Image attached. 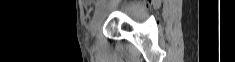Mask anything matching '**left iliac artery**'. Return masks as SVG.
Listing matches in <instances>:
<instances>
[{
  "instance_id": "1",
  "label": "left iliac artery",
  "mask_w": 235,
  "mask_h": 62,
  "mask_svg": "<svg viewBox=\"0 0 235 62\" xmlns=\"http://www.w3.org/2000/svg\"><path fill=\"white\" fill-rule=\"evenodd\" d=\"M104 2H99L97 5H96V8H95V12H94V15H96L100 8L103 6Z\"/></svg>"
}]
</instances>
